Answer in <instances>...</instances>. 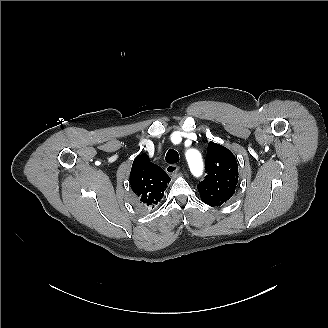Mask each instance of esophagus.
Listing matches in <instances>:
<instances>
[{
    "label": "esophagus",
    "instance_id": "34e87169",
    "mask_svg": "<svg viewBox=\"0 0 328 328\" xmlns=\"http://www.w3.org/2000/svg\"><path fill=\"white\" fill-rule=\"evenodd\" d=\"M165 171L170 175L174 176L178 173L179 167L175 164H169L166 168Z\"/></svg>",
    "mask_w": 328,
    "mask_h": 328
}]
</instances>
